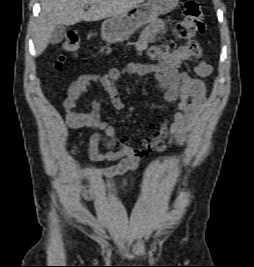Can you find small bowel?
Returning <instances> with one entry per match:
<instances>
[{"mask_svg":"<svg viewBox=\"0 0 254 267\" xmlns=\"http://www.w3.org/2000/svg\"><path fill=\"white\" fill-rule=\"evenodd\" d=\"M161 20L153 21L143 32L137 42V48L144 49L163 29ZM189 62L197 77L182 70V65ZM212 66L202 60V50L197 42L189 41L176 49L160 64L132 63L125 68H111L106 74L81 75L69 88L63 102L66 124L73 129L91 128L94 133L89 140V159L94 163L117 161V164L106 168H86L80 172L81 178L105 179L112 178L126 171L138 168L140 159L151 152H162L171 145L181 146L187 132L196 124L204 108L207 96V86L203 78L212 73ZM147 75L153 74L158 87L163 93V99L169 111H174L173 122L169 124L164 117L161 127L152 135L142 139V146L134 148L127 136L116 135L115 128L105 121L100 114V103L93 101L91 111L81 112L77 102L86 93L92 83H99L107 92L114 109L122 110L124 104L116 87V81L124 74ZM152 131L154 124L149 123ZM169 132L170 138L162 142ZM105 151H102V150ZM128 180L123 181L117 188L121 192L127 186ZM80 192L86 200H94L97 193L85 185L80 186Z\"/></svg>","mask_w":254,"mask_h":267,"instance_id":"1","label":"small bowel"}]
</instances>
